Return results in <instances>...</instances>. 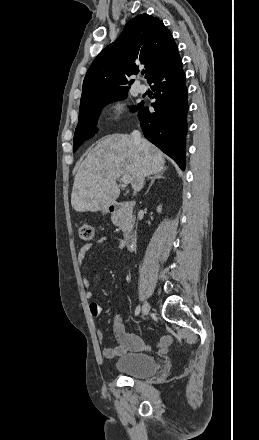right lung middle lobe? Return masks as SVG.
Masks as SVG:
<instances>
[{
	"instance_id": "1",
	"label": "right lung middle lobe",
	"mask_w": 259,
	"mask_h": 440,
	"mask_svg": "<svg viewBox=\"0 0 259 440\" xmlns=\"http://www.w3.org/2000/svg\"><path fill=\"white\" fill-rule=\"evenodd\" d=\"M126 96L127 90L119 91L79 108V120L73 139V152H75L87 139L94 136L101 108L112 101L124 99Z\"/></svg>"
}]
</instances>
